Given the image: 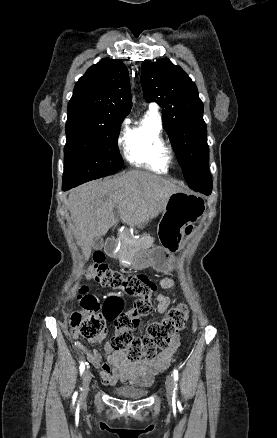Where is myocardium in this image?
Listing matches in <instances>:
<instances>
[{"instance_id":"1","label":"myocardium","mask_w":277,"mask_h":438,"mask_svg":"<svg viewBox=\"0 0 277 438\" xmlns=\"http://www.w3.org/2000/svg\"><path fill=\"white\" fill-rule=\"evenodd\" d=\"M162 158L166 164H170L175 160L176 154L170 147L167 146L163 150Z\"/></svg>"}]
</instances>
